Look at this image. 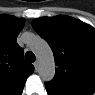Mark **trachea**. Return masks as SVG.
<instances>
[{
    "mask_svg": "<svg viewBox=\"0 0 95 95\" xmlns=\"http://www.w3.org/2000/svg\"><path fill=\"white\" fill-rule=\"evenodd\" d=\"M25 59L31 63H33L36 60V57L33 52L27 51L25 54Z\"/></svg>",
    "mask_w": 95,
    "mask_h": 95,
    "instance_id": "obj_1",
    "label": "trachea"
}]
</instances>
